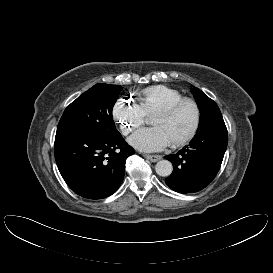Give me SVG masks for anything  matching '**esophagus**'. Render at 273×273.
Instances as JSON below:
<instances>
[{
  "label": "esophagus",
  "instance_id": "34e87169",
  "mask_svg": "<svg viewBox=\"0 0 273 273\" xmlns=\"http://www.w3.org/2000/svg\"><path fill=\"white\" fill-rule=\"evenodd\" d=\"M145 157L151 162H157L161 159L160 155H145Z\"/></svg>",
  "mask_w": 273,
  "mask_h": 273
}]
</instances>
